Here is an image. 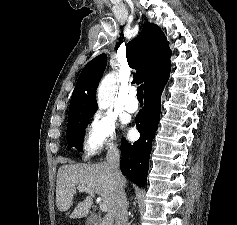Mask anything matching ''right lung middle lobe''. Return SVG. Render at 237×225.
I'll use <instances>...</instances> for the list:
<instances>
[{"label": "right lung middle lobe", "instance_id": "right-lung-middle-lobe-1", "mask_svg": "<svg viewBox=\"0 0 237 225\" xmlns=\"http://www.w3.org/2000/svg\"><path fill=\"white\" fill-rule=\"evenodd\" d=\"M92 116L91 114L80 111L69 112L66 131V139L69 147H75L79 151L82 150L85 127L88 125V120Z\"/></svg>", "mask_w": 237, "mask_h": 225}]
</instances>
